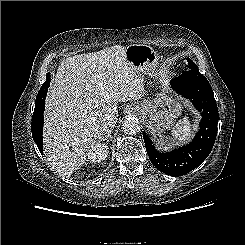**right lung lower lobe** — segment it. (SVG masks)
<instances>
[{
  "label": "right lung lower lobe",
  "instance_id": "1",
  "mask_svg": "<svg viewBox=\"0 0 245 245\" xmlns=\"http://www.w3.org/2000/svg\"><path fill=\"white\" fill-rule=\"evenodd\" d=\"M43 113H44V104L36 108L34 110L33 116H32V136L37 144V147L41 154H43V139H42V131H43Z\"/></svg>",
  "mask_w": 245,
  "mask_h": 245
}]
</instances>
